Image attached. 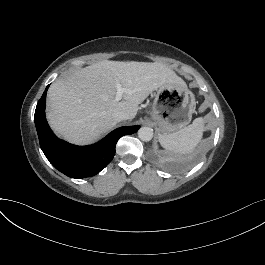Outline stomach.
Segmentation results:
<instances>
[{
	"instance_id": "stomach-1",
	"label": "stomach",
	"mask_w": 265,
	"mask_h": 265,
	"mask_svg": "<svg viewBox=\"0 0 265 265\" xmlns=\"http://www.w3.org/2000/svg\"><path fill=\"white\" fill-rule=\"evenodd\" d=\"M195 108V98L187 87L167 85L155 93L151 118L162 134H169L187 126Z\"/></svg>"
}]
</instances>
